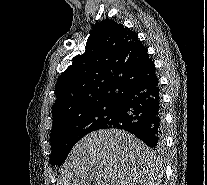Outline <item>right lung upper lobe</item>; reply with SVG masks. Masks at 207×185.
I'll list each match as a JSON object with an SVG mask.
<instances>
[{"mask_svg": "<svg viewBox=\"0 0 207 185\" xmlns=\"http://www.w3.org/2000/svg\"><path fill=\"white\" fill-rule=\"evenodd\" d=\"M85 48L58 79L53 126L81 112L117 103L131 84L155 74L138 36L113 20L98 23Z\"/></svg>", "mask_w": 207, "mask_h": 185, "instance_id": "cb5924a9", "label": "right lung upper lobe"}]
</instances>
